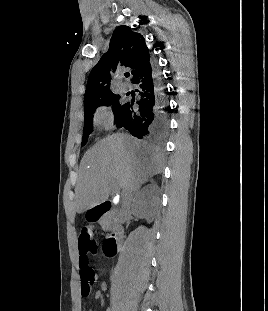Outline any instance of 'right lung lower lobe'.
<instances>
[{
  "label": "right lung lower lobe",
  "mask_w": 268,
  "mask_h": 311,
  "mask_svg": "<svg viewBox=\"0 0 268 311\" xmlns=\"http://www.w3.org/2000/svg\"><path fill=\"white\" fill-rule=\"evenodd\" d=\"M137 85L138 99L123 104L116 119L118 128L148 142H160L168 134V101L153 62L132 80Z\"/></svg>",
  "instance_id": "obj_1"
}]
</instances>
